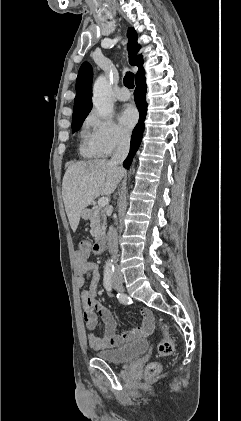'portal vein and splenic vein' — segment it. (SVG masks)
<instances>
[{
  "label": "portal vein and splenic vein",
  "instance_id": "1",
  "mask_svg": "<svg viewBox=\"0 0 241 421\" xmlns=\"http://www.w3.org/2000/svg\"><path fill=\"white\" fill-rule=\"evenodd\" d=\"M109 204V198L108 197H101L98 200V207H105Z\"/></svg>",
  "mask_w": 241,
  "mask_h": 421
}]
</instances>
